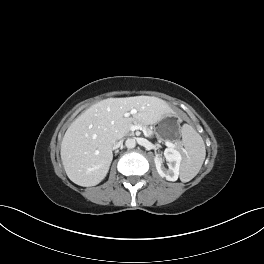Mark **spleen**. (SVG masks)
<instances>
[{
  "mask_svg": "<svg viewBox=\"0 0 264 264\" xmlns=\"http://www.w3.org/2000/svg\"><path fill=\"white\" fill-rule=\"evenodd\" d=\"M181 136L186 154L180 167V179L182 182H188L199 173L205 160L206 149L202 137L192 126L184 124Z\"/></svg>",
  "mask_w": 264,
  "mask_h": 264,
  "instance_id": "1",
  "label": "spleen"
}]
</instances>
